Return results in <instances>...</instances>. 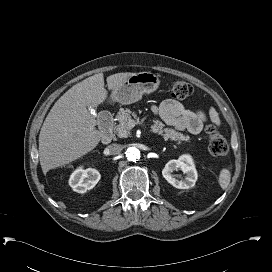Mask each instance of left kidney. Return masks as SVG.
Listing matches in <instances>:
<instances>
[{"instance_id":"obj_1","label":"left kidney","mask_w":272,"mask_h":272,"mask_svg":"<svg viewBox=\"0 0 272 272\" xmlns=\"http://www.w3.org/2000/svg\"><path fill=\"white\" fill-rule=\"evenodd\" d=\"M175 170H181L186 174L185 178L183 180L177 179L176 175L173 174ZM162 175L168 183L178 189L192 188L198 178L193 159L189 154L181 155L177 160L167 162L162 170Z\"/></svg>"}]
</instances>
